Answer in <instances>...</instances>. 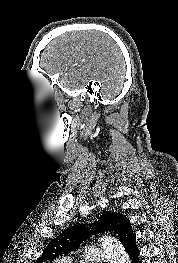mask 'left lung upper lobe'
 <instances>
[{
  "mask_svg": "<svg viewBox=\"0 0 178 263\" xmlns=\"http://www.w3.org/2000/svg\"><path fill=\"white\" fill-rule=\"evenodd\" d=\"M127 220L128 218L123 214L106 211L99 221L94 222L95 225H93L91 229L82 224L68 228L47 245L35 263H46L62 254L70 253L75 250L81 242L97 233L112 231L119 237ZM89 227H91V224H89Z\"/></svg>",
  "mask_w": 178,
  "mask_h": 263,
  "instance_id": "1",
  "label": "left lung upper lobe"
}]
</instances>
